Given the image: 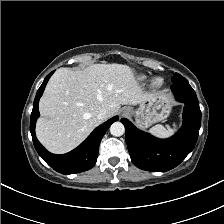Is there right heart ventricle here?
<instances>
[{
  "instance_id": "right-heart-ventricle-1",
  "label": "right heart ventricle",
  "mask_w": 224,
  "mask_h": 224,
  "mask_svg": "<svg viewBox=\"0 0 224 224\" xmlns=\"http://www.w3.org/2000/svg\"><path fill=\"white\" fill-rule=\"evenodd\" d=\"M139 79H140V80H146V79H147V76H146V75H140V76H139Z\"/></svg>"
}]
</instances>
